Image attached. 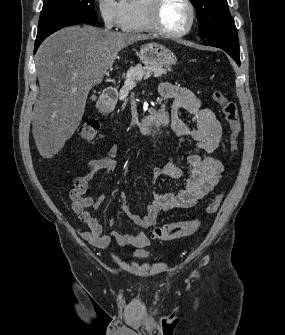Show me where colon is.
<instances>
[{
	"mask_svg": "<svg viewBox=\"0 0 285 335\" xmlns=\"http://www.w3.org/2000/svg\"><path fill=\"white\" fill-rule=\"evenodd\" d=\"M213 100L222 108L225 120L230 130L231 151L235 152L238 148V138L241 132V124L237 105L229 100L227 96L220 92L212 93ZM100 123L96 119H89L78 129L79 137L88 143H93L98 136ZM222 195L218 194L206 207L203 217L216 213L220 207ZM202 225V218L189 221L171 222L155 228L151 235L159 240H172L195 233Z\"/></svg>",
	"mask_w": 285,
	"mask_h": 335,
	"instance_id": "obj_1",
	"label": "colon"
}]
</instances>
